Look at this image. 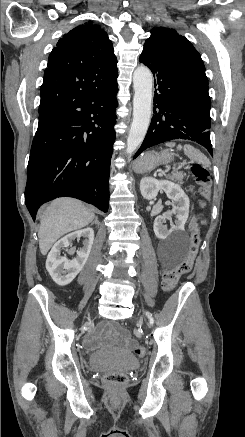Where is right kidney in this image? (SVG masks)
<instances>
[{"label":"right kidney","instance_id":"obj_1","mask_svg":"<svg viewBox=\"0 0 245 437\" xmlns=\"http://www.w3.org/2000/svg\"><path fill=\"white\" fill-rule=\"evenodd\" d=\"M84 238L83 247L77 251L76 258L68 260L60 256L63 248L72 245L76 238ZM94 241V230L90 227L72 232L55 243L49 252L46 260V269L53 281L58 285L64 286L71 283L84 267ZM75 249L71 248L69 254H74Z\"/></svg>","mask_w":245,"mask_h":437}]
</instances>
